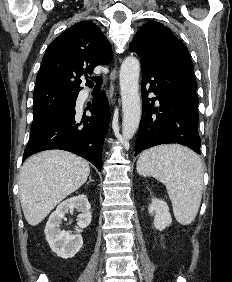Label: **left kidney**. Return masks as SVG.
<instances>
[{"label": "left kidney", "mask_w": 232, "mask_h": 282, "mask_svg": "<svg viewBox=\"0 0 232 282\" xmlns=\"http://www.w3.org/2000/svg\"><path fill=\"white\" fill-rule=\"evenodd\" d=\"M150 214H154V227L163 230L172 222L169 207L165 201L154 198L148 208Z\"/></svg>", "instance_id": "obj_1"}]
</instances>
